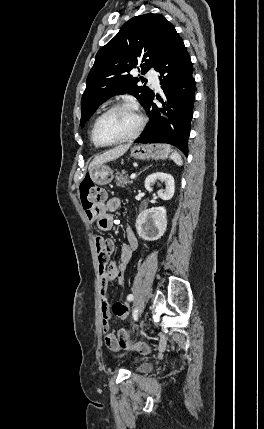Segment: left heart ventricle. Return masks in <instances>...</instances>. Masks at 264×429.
<instances>
[{"instance_id": "obj_1", "label": "left heart ventricle", "mask_w": 264, "mask_h": 429, "mask_svg": "<svg viewBox=\"0 0 264 429\" xmlns=\"http://www.w3.org/2000/svg\"><path fill=\"white\" fill-rule=\"evenodd\" d=\"M137 122L136 116L129 110L114 111L99 122L97 138L103 143L125 138L135 130Z\"/></svg>"}]
</instances>
